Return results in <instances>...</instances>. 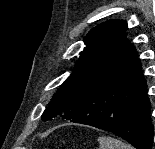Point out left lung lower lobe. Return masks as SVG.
<instances>
[{"instance_id":"1","label":"left lung lower lobe","mask_w":155,"mask_h":149,"mask_svg":"<svg viewBox=\"0 0 155 149\" xmlns=\"http://www.w3.org/2000/svg\"><path fill=\"white\" fill-rule=\"evenodd\" d=\"M125 41L113 65L78 99L64 118L111 132L137 149H152L153 125L141 63Z\"/></svg>"}]
</instances>
